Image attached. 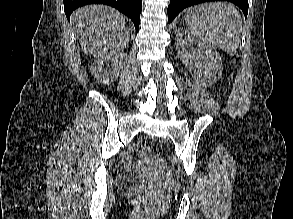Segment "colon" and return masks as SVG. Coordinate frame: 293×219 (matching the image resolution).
<instances>
[{
  "label": "colon",
  "mask_w": 293,
  "mask_h": 219,
  "mask_svg": "<svg viewBox=\"0 0 293 219\" xmlns=\"http://www.w3.org/2000/svg\"><path fill=\"white\" fill-rule=\"evenodd\" d=\"M232 80V75L230 76V82ZM229 82V84H230ZM229 84L225 86L221 92L222 95H224L229 87ZM154 146V140L153 138L147 136L142 138L137 145V151L141 155H147L151 152L152 148ZM137 202L140 203L146 210L153 211L154 204L153 200L146 194H138L137 196Z\"/></svg>",
  "instance_id": "obj_1"
}]
</instances>
